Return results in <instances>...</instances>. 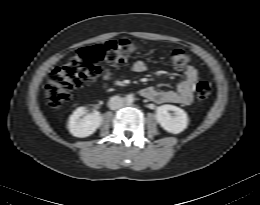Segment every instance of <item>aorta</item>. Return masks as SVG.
I'll list each match as a JSON object with an SVG mask.
<instances>
[{"label": "aorta", "instance_id": "aorta-1", "mask_svg": "<svg viewBox=\"0 0 260 205\" xmlns=\"http://www.w3.org/2000/svg\"><path fill=\"white\" fill-rule=\"evenodd\" d=\"M124 101L127 103V104H131L134 102V96L132 94H128L125 98H124Z\"/></svg>", "mask_w": 260, "mask_h": 205}]
</instances>
